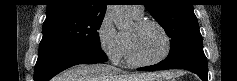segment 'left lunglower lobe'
Masks as SVG:
<instances>
[{
    "label": "left lung lower lobe",
    "mask_w": 237,
    "mask_h": 81,
    "mask_svg": "<svg viewBox=\"0 0 237 81\" xmlns=\"http://www.w3.org/2000/svg\"><path fill=\"white\" fill-rule=\"evenodd\" d=\"M161 69H186L197 74L203 81H208V65L205 55H195L181 61L166 64L163 61L152 66L139 68L138 70H161Z\"/></svg>",
    "instance_id": "obj_1"
}]
</instances>
